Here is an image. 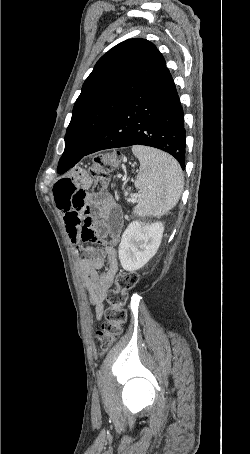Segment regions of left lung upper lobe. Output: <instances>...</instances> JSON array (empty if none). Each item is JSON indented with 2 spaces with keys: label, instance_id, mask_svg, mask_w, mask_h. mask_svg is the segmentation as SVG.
<instances>
[{
  "label": "left lung upper lobe",
  "instance_id": "obj_1",
  "mask_svg": "<svg viewBox=\"0 0 250 454\" xmlns=\"http://www.w3.org/2000/svg\"><path fill=\"white\" fill-rule=\"evenodd\" d=\"M165 64L155 45L141 38L128 39L105 53L75 102L63 154L83 155L107 121Z\"/></svg>",
  "mask_w": 250,
  "mask_h": 454
}]
</instances>
